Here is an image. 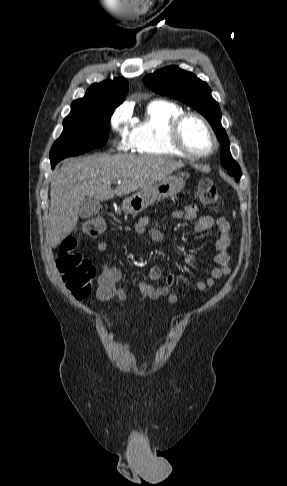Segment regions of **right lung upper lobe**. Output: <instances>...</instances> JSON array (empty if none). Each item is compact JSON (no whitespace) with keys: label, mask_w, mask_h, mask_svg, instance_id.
Instances as JSON below:
<instances>
[{"label":"right lung upper lobe","mask_w":287,"mask_h":486,"mask_svg":"<svg viewBox=\"0 0 287 486\" xmlns=\"http://www.w3.org/2000/svg\"><path fill=\"white\" fill-rule=\"evenodd\" d=\"M128 83L124 78L92 84L83 98L75 100L71 108L104 107L115 110L125 99Z\"/></svg>","instance_id":"obj_1"}]
</instances>
